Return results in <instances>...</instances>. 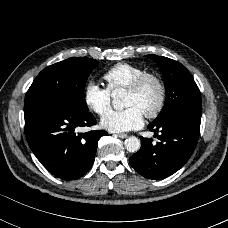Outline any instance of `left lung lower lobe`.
Returning a JSON list of instances; mask_svg holds the SVG:
<instances>
[{
	"mask_svg": "<svg viewBox=\"0 0 228 228\" xmlns=\"http://www.w3.org/2000/svg\"><path fill=\"white\" fill-rule=\"evenodd\" d=\"M201 115L174 113L152 122L150 131L161 130L153 145L152 139L140 137L141 149L129 158L130 165L147 179L160 180L178 171L191 157L199 138Z\"/></svg>",
	"mask_w": 228,
	"mask_h": 228,
	"instance_id": "1",
	"label": "left lung lower lobe"
}]
</instances>
